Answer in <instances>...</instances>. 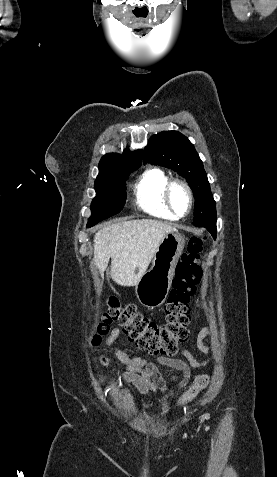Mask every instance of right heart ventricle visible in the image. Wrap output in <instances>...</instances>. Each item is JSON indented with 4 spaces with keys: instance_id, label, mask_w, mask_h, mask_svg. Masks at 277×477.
Wrapping results in <instances>:
<instances>
[{
    "instance_id": "e07e8e85",
    "label": "right heart ventricle",
    "mask_w": 277,
    "mask_h": 477,
    "mask_svg": "<svg viewBox=\"0 0 277 477\" xmlns=\"http://www.w3.org/2000/svg\"><path fill=\"white\" fill-rule=\"evenodd\" d=\"M170 181L169 176L160 168L145 170L134 185L136 203L144 212L166 220H177L166 206L164 188Z\"/></svg>"
}]
</instances>
